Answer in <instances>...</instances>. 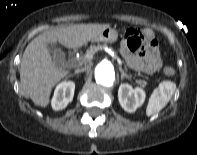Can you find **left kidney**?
Wrapping results in <instances>:
<instances>
[{
    "mask_svg": "<svg viewBox=\"0 0 197 155\" xmlns=\"http://www.w3.org/2000/svg\"><path fill=\"white\" fill-rule=\"evenodd\" d=\"M145 92L142 88L133 89L129 84H121L118 89V100L122 108L133 113L145 101Z\"/></svg>",
    "mask_w": 197,
    "mask_h": 155,
    "instance_id": "left-kidney-1",
    "label": "left kidney"
}]
</instances>
